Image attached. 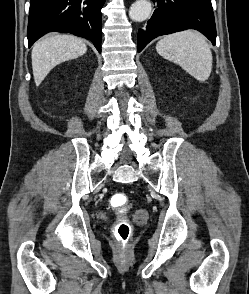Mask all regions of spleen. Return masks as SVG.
I'll return each mask as SVG.
<instances>
[{
    "instance_id": "spleen-1",
    "label": "spleen",
    "mask_w": 249,
    "mask_h": 294,
    "mask_svg": "<svg viewBox=\"0 0 249 294\" xmlns=\"http://www.w3.org/2000/svg\"><path fill=\"white\" fill-rule=\"evenodd\" d=\"M156 50L163 58L177 63L198 81H205L212 70V52L198 31L186 30L165 36Z\"/></svg>"
}]
</instances>
